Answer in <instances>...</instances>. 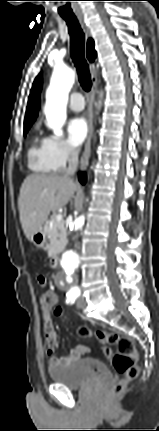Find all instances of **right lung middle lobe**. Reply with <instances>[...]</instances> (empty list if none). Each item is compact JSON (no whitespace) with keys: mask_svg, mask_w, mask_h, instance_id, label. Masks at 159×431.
Instances as JSON below:
<instances>
[{"mask_svg":"<svg viewBox=\"0 0 159 431\" xmlns=\"http://www.w3.org/2000/svg\"><path fill=\"white\" fill-rule=\"evenodd\" d=\"M29 128H30V126H24V135H26Z\"/></svg>","mask_w":159,"mask_h":431,"instance_id":"dd1d6c3e","label":"right lung middle lobe"}]
</instances>
